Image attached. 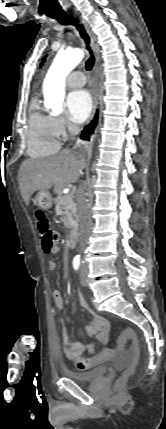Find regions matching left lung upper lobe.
I'll use <instances>...</instances> for the list:
<instances>
[{
  "mask_svg": "<svg viewBox=\"0 0 166 429\" xmlns=\"http://www.w3.org/2000/svg\"><path fill=\"white\" fill-rule=\"evenodd\" d=\"M45 60H46V58L44 57L43 60H42V62H41V65L44 63Z\"/></svg>",
  "mask_w": 166,
  "mask_h": 429,
  "instance_id": "left-lung-upper-lobe-1",
  "label": "left lung upper lobe"
}]
</instances>
